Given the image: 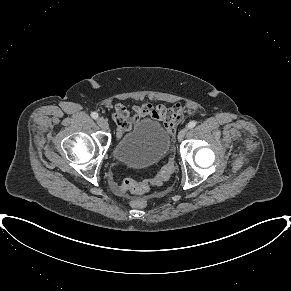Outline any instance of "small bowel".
<instances>
[{"label": "small bowel", "mask_w": 291, "mask_h": 291, "mask_svg": "<svg viewBox=\"0 0 291 291\" xmlns=\"http://www.w3.org/2000/svg\"><path fill=\"white\" fill-rule=\"evenodd\" d=\"M183 112L184 106L181 103L167 107L146 102L143 105H133L131 109L117 103L112 113L117 126V139H120L135 123L145 117L154 119L162 124L168 133H173L183 119Z\"/></svg>", "instance_id": "obj_1"}]
</instances>
